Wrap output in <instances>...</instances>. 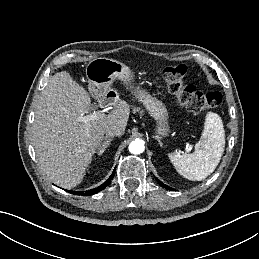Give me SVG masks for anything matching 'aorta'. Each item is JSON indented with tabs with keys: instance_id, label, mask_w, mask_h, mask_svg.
<instances>
[{
	"instance_id": "aorta-1",
	"label": "aorta",
	"mask_w": 259,
	"mask_h": 259,
	"mask_svg": "<svg viewBox=\"0 0 259 259\" xmlns=\"http://www.w3.org/2000/svg\"><path fill=\"white\" fill-rule=\"evenodd\" d=\"M144 143L141 140H134L129 144V151L132 154H141L144 151Z\"/></svg>"
}]
</instances>
